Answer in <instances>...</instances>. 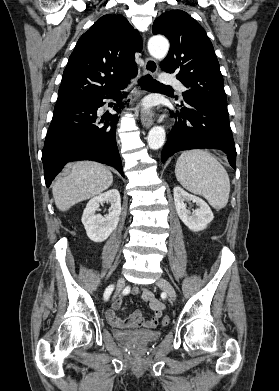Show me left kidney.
Returning <instances> with one entry per match:
<instances>
[{
	"label": "left kidney",
	"instance_id": "1",
	"mask_svg": "<svg viewBox=\"0 0 279 391\" xmlns=\"http://www.w3.org/2000/svg\"><path fill=\"white\" fill-rule=\"evenodd\" d=\"M174 202L181 221L192 231L204 230L214 216L209 205L201 198L189 194L180 186L173 189ZM192 201L198 208L191 212L186 208V202Z\"/></svg>",
	"mask_w": 279,
	"mask_h": 391
}]
</instances>
